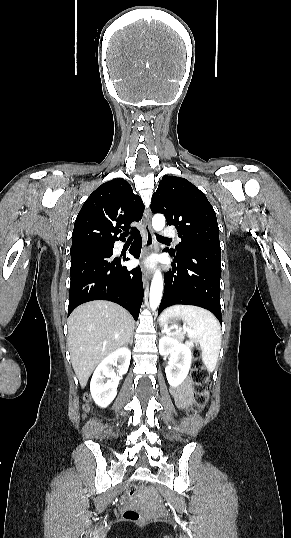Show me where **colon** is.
Returning a JSON list of instances; mask_svg holds the SVG:
<instances>
[{
  "label": "colon",
  "mask_w": 291,
  "mask_h": 538,
  "mask_svg": "<svg viewBox=\"0 0 291 538\" xmlns=\"http://www.w3.org/2000/svg\"><path fill=\"white\" fill-rule=\"evenodd\" d=\"M192 380L195 386V393L192 405L187 410V415L190 417L198 415L205 407L208 401V394L210 390L209 374L200 360L195 361V366L192 372ZM88 402V398L86 399ZM126 495L133 498L137 495L136 487H129L126 491ZM124 518L131 522H143L144 516L136 510L127 509L124 512Z\"/></svg>",
  "instance_id": "5ec220e1"
}]
</instances>
